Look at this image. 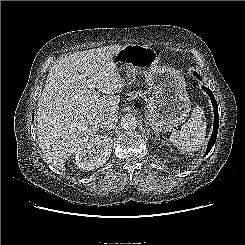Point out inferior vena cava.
<instances>
[{
  "label": "inferior vena cava",
  "mask_w": 245,
  "mask_h": 245,
  "mask_svg": "<svg viewBox=\"0 0 245 245\" xmlns=\"http://www.w3.org/2000/svg\"><path fill=\"white\" fill-rule=\"evenodd\" d=\"M117 122H118V117L116 114L106 115L102 118L100 122V128L111 130L116 126Z\"/></svg>",
  "instance_id": "obj_1"
}]
</instances>
